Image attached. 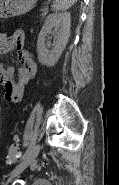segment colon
<instances>
[{"mask_svg":"<svg viewBox=\"0 0 119 185\" xmlns=\"http://www.w3.org/2000/svg\"><path fill=\"white\" fill-rule=\"evenodd\" d=\"M6 84L9 85V82H6ZM20 153L21 152L19 149V145L17 143V139H15V141L13 143H11L8 147V151L5 156L6 163L8 165L14 164L18 160Z\"/></svg>","mask_w":119,"mask_h":185,"instance_id":"obj_1","label":"colon"}]
</instances>
